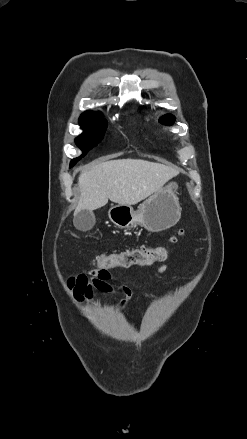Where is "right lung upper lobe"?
Segmentation results:
<instances>
[{
    "label": "right lung upper lobe",
    "instance_id": "right-lung-upper-lobe-1",
    "mask_svg": "<svg viewBox=\"0 0 247 439\" xmlns=\"http://www.w3.org/2000/svg\"><path fill=\"white\" fill-rule=\"evenodd\" d=\"M85 117H102V115L98 112L86 111L82 114Z\"/></svg>",
    "mask_w": 247,
    "mask_h": 439
}]
</instances>
